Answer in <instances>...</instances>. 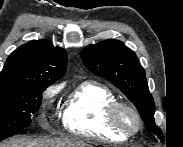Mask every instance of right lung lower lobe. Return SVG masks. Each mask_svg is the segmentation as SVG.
Instances as JSON below:
<instances>
[{"instance_id":"98d812e1","label":"right lung lower lobe","mask_w":183,"mask_h":147,"mask_svg":"<svg viewBox=\"0 0 183 147\" xmlns=\"http://www.w3.org/2000/svg\"><path fill=\"white\" fill-rule=\"evenodd\" d=\"M16 134H25V131L24 130H19V131H17V132H15V133H13V134H11V136H13V135H16ZM10 137V136H9ZM8 138V137H7ZM3 140V139H2ZM1 141V140H0Z\"/></svg>"}]
</instances>
